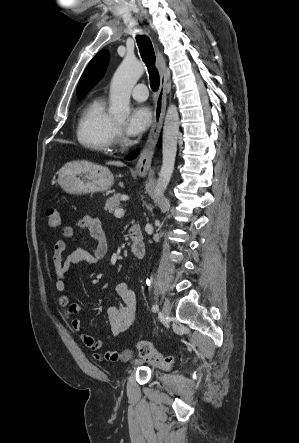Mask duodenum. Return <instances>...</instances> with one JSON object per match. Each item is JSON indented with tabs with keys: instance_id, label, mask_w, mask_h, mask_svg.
Instances as JSON below:
<instances>
[{
	"instance_id": "obj_1",
	"label": "duodenum",
	"mask_w": 299,
	"mask_h": 443,
	"mask_svg": "<svg viewBox=\"0 0 299 443\" xmlns=\"http://www.w3.org/2000/svg\"><path fill=\"white\" fill-rule=\"evenodd\" d=\"M129 238L131 240V251L134 257L142 258L144 256V243L141 230L138 227H131L129 229Z\"/></svg>"
}]
</instances>
